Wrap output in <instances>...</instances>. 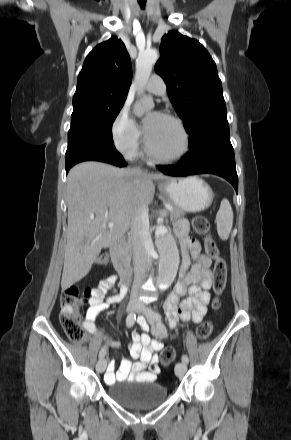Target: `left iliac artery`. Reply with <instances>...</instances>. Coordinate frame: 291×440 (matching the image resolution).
Masks as SVG:
<instances>
[{
	"label": "left iliac artery",
	"instance_id": "1",
	"mask_svg": "<svg viewBox=\"0 0 291 440\" xmlns=\"http://www.w3.org/2000/svg\"><path fill=\"white\" fill-rule=\"evenodd\" d=\"M160 328H161L163 334H164V335H167V331H166L165 327H164L163 325H161ZM182 362L185 363V364H187V363L189 362L188 356H187L186 354H184V355L182 356Z\"/></svg>",
	"mask_w": 291,
	"mask_h": 440
}]
</instances>
